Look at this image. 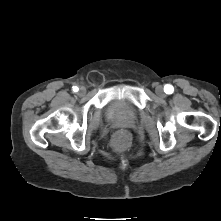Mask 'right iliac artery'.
<instances>
[{"label": "right iliac artery", "instance_id": "1", "mask_svg": "<svg viewBox=\"0 0 221 221\" xmlns=\"http://www.w3.org/2000/svg\"><path fill=\"white\" fill-rule=\"evenodd\" d=\"M78 90H79V89H78L77 86H74V87H73V91H74V92H77Z\"/></svg>", "mask_w": 221, "mask_h": 221}]
</instances>
